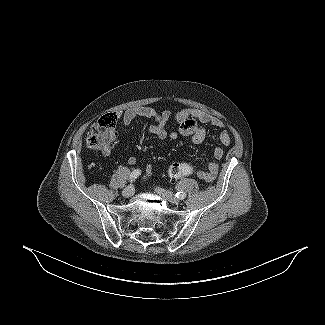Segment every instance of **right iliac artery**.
Masks as SVG:
<instances>
[{
	"mask_svg": "<svg viewBox=\"0 0 325 325\" xmlns=\"http://www.w3.org/2000/svg\"><path fill=\"white\" fill-rule=\"evenodd\" d=\"M141 175V170H139V169H135L132 173H131V175H130V177H129V181L130 182H132V181H134L137 177H139Z\"/></svg>",
	"mask_w": 325,
	"mask_h": 325,
	"instance_id": "82829eb1",
	"label": "right iliac artery"
}]
</instances>
